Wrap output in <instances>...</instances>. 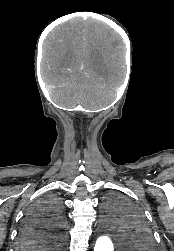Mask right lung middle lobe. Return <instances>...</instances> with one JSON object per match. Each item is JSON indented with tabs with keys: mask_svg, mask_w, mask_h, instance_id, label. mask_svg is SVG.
<instances>
[{
	"mask_svg": "<svg viewBox=\"0 0 174 251\" xmlns=\"http://www.w3.org/2000/svg\"><path fill=\"white\" fill-rule=\"evenodd\" d=\"M25 222L45 225L50 229L51 235L59 236L64 227L60 201L52 195L39 199L30 209Z\"/></svg>",
	"mask_w": 174,
	"mask_h": 251,
	"instance_id": "dd1d6c3e",
	"label": "right lung middle lobe"
}]
</instances>
